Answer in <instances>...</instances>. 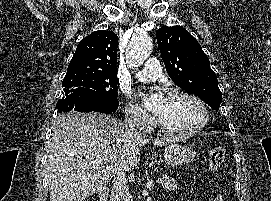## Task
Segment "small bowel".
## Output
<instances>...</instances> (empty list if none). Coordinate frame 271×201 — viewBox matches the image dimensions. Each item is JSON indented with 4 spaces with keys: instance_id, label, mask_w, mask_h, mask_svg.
Listing matches in <instances>:
<instances>
[{
    "instance_id": "obj_1",
    "label": "small bowel",
    "mask_w": 271,
    "mask_h": 201,
    "mask_svg": "<svg viewBox=\"0 0 271 201\" xmlns=\"http://www.w3.org/2000/svg\"><path fill=\"white\" fill-rule=\"evenodd\" d=\"M212 201H222L219 196L215 197Z\"/></svg>"
}]
</instances>
